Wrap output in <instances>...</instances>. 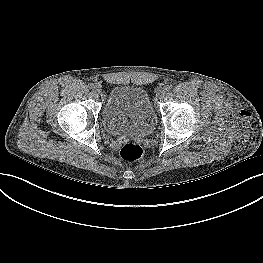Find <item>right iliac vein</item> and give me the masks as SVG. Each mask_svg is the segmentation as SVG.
Instances as JSON below:
<instances>
[{"label": "right iliac vein", "mask_w": 263, "mask_h": 263, "mask_svg": "<svg viewBox=\"0 0 263 263\" xmlns=\"http://www.w3.org/2000/svg\"><path fill=\"white\" fill-rule=\"evenodd\" d=\"M97 93H100L101 92V87L98 86V88L96 89Z\"/></svg>", "instance_id": "right-iliac-vein-1"}]
</instances>
